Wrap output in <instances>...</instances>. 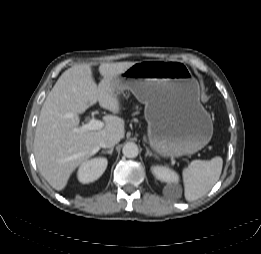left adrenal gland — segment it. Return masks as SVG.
I'll return each mask as SVG.
<instances>
[{
  "label": "left adrenal gland",
  "instance_id": "1",
  "mask_svg": "<svg viewBox=\"0 0 261 254\" xmlns=\"http://www.w3.org/2000/svg\"><path fill=\"white\" fill-rule=\"evenodd\" d=\"M147 156H154V157H157L156 155H153V153L149 151L148 147H146V154H145V157H147Z\"/></svg>",
  "mask_w": 261,
  "mask_h": 254
}]
</instances>
